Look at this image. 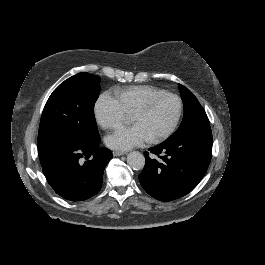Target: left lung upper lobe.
I'll list each match as a JSON object with an SVG mask.
<instances>
[{"label": "left lung upper lobe", "instance_id": "obj_1", "mask_svg": "<svg viewBox=\"0 0 265 265\" xmlns=\"http://www.w3.org/2000/svg\"><path fill=\"white\" fill-rule=\"evenodd\" d=\"M179 90L184 104V116L178 130L168 139L180 137L188 132L208 128V117L197 98L183 85L179 84Z\"/></svg>", "mask_w": 265, "mask_h": 265}]
</instances>
